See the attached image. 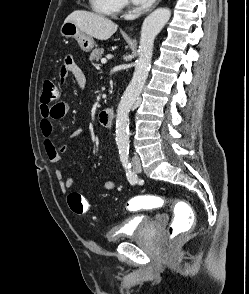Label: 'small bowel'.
Listing matches in <instances>:
<instances>
[{
    "label": "small bowel",
    "instance_id": "c3829d8e",
    "mask_svg": "<svg viewBox=\"0 0 249 294\" xmlns=\"http://www.w3.org/2000/svg\"><path fill=\"white\" fill-rule=\"evenodd\" d=\"M69 74L74 77L80 87L84 86L85 75L82 70L74 63L71 56H68L63 63L60 73L62 83L66 81ZM69 109L70 104L65 100H60L53 104L42 103L40 105L39 127L44 137V147L48 160L54 164L61 160V154L66 152L68 149L66 145L56 144L54 133L55 123L58 120L63 119L69 112ZM85 134L86 133L84 129L78 128L67 134L66 138L74 139L80 136H84ZM54 176L62 192L69 190L74 183V178L72 176L65 177L64 172L60 168H56L54 170ZM116 187L117 184L112 180H108L104 183V189L106 191H113L116 189Z\"/></svg>",
    "mask_w": 249,
    "mask_h": 294
}]
</instances>
